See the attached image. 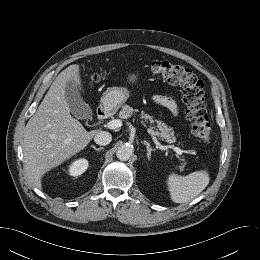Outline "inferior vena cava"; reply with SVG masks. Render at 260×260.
Returning <instances> with one entry per match:
<instances>
[{
  "label": "inferior vena cava",
  "instance_id": "1",
  "mask_svg": "<svg viewBox=\"0 0 260 260\" xmlns=\"http://www.w3.org/2000/svg\"><path fill=\"white\" fill-rule=\"evenodd\" d=\"M111 140L112 135L106 131H98L94 137L95 143L102 146L109 144Z\"/></svg>",
  "mask_w": 260,
  "mask_h": 260
}]
</instances>
